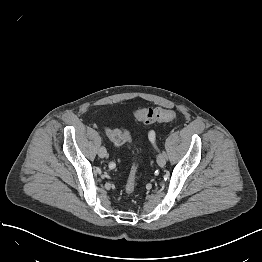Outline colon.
I'll return each instance as SVG.
<instances>
[{
    "label": "colon",
    "instance_id": "obj_1",
    "mask_svg": "<svg viewBox=\"0 0 262 262\" xmlns=\"http://www.w3.org/2000/svg\"><path fill=\"white\" fill-rule=\"evenodd\" d=\"M135 117L143 123H154L162 121H171L176 118V113L168 108H141L135 111ZM107 136L115 146H123L130 140V133L124 129H108ZM137 189V165L131 170L125 185L127 194H133Z\"/></svg>",
    "mask_w": 262,
    "mask_h": 262
}]
</instances>
